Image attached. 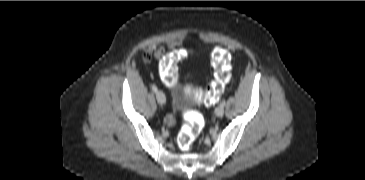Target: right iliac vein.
<instances>
[{"instance_id": "1", "label": "right iliac vein", "mask_w": 365, "mask_h": 180, "mask_svg": "<svg viewBox=\"0 0 365 180\" xmlns=\"http://www.w3.org/2000/svg\"><path fill=\"white\" fill-rule=\"evenodd\" d=\"M156 98H157V101H158V103H159L160 105H164V104L166 103V97H165V95H164V93H163V92L158 91V92L156 93Z\"/></svg>"}]
</instances>
